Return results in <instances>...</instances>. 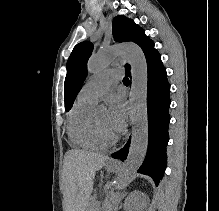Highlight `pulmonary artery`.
<instances>
[{
	"instance_id": "1",
	"label": "pulmonary artery",
	"mask_w": 219,
	"mask_h": 211,
	"mask_svg": "<svg viewBox=\"0 0 219 211\" xmlns=\"http://www.w3.org/2000/svg\"><path fill=\"white\" fill-rule=\"evenodd\" d=\"M118 72V69H109L97 73L83 86L78 98L95 104L103 94L110 90L112 83L120 79Z\"/></svg>"
}]
</instances>
